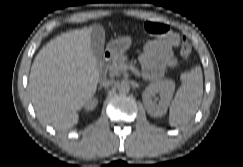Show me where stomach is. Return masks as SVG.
<instances>
[{"label": "stomach", "mask_w": 243, "mask_h": 167, "mask_svg": "<svg viewBox=\"0 0 243 167\" xmlns=\"http://www.w3.org/2000/svg\"><path fill=\"white\" fill-rule=\"evenodd\" d=\"M132 40L129 36L111 40L107 45V52L111 57H116L125 53L131 46Z\"/></svg>", "instance_id": "1"}]
</instances>
